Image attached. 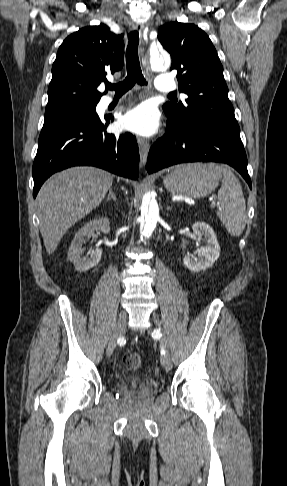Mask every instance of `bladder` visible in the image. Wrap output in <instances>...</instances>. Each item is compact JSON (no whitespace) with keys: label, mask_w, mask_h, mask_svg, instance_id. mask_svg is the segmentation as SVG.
Masks as SVG:
<instances>
[{"label":"bladder","mask_w":287,"mask_h":486,"mask_svg":"<svg viewBox=\"0 0 287 486\" xmlns=\"http://www.w3.org/2000/svg\"><path fill=\"white\" fill-rule=\"evenodd\" d=\"M143 378L141 376H136V375H127V376H123L120 378V381L122 383H128V382H132V381H142Z\"/></svg>","instance_id":"31cf9c89"}]
</instances>
